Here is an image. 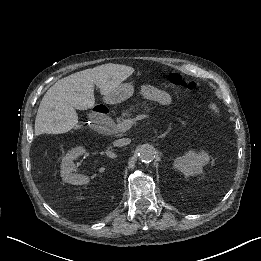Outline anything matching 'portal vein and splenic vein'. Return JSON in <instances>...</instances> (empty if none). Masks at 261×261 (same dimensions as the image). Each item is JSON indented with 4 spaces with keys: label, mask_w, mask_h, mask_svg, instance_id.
<instances>
[{
    "label": "portal vein and splenic vein",
    "mask_w": 261,
    "mask_h": 261,
    "mask_svg": "<svg viewBox=\"0 0 261 261\" xmlns=\"http://www.w3.org/2000/svg\"><path fill=\"white\" fill-rule=\"evenodd\" d=\"M151 118V113H145L142 115L134 116L132 119H124L121 123L117 124V131L118 132H126L129 130L133 123L137 124L139 120L145 121L146 119Z\"/></svg>",
    "instance_id": "portal-vein-and-splenic-vein-1"
}]
</instances>
